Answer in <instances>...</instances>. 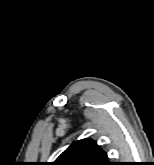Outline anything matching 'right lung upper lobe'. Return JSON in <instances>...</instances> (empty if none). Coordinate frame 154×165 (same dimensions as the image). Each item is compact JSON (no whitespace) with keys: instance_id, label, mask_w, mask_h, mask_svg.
Segmentation results:
<instances>
[{"instance_id":"cb5924a9","label":"right lung upper lobe","mask_w":154,"mask_h":165,"mask_svg":"<svg viewBox=\"0 0 154 165\" xmlns=\"http://www.w3.org/2000/svg\"><path fill=\"white\" fill-rule=\"evenodd\" d=\"M54 163L56 165H110L107 154L91 139L73 142Z\"/></svg>"}]
</instances>
